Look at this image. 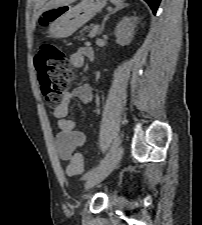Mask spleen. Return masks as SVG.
<instances>
[{
    "label": "spleen",
    "instance_id": "spleen-1",
    "mask_svg": "<svg viewBox=\"0 0 202 225\" xmlns=\"http://www.w3.org/2000/svg\"><path fill=\"white\" fill-rule=\"evenodd\" d=\"M113 4L121 6L124 0H110Z\"/></svg>",
    "mask_w": 202,
    "mask_h": 225
}]
</instances>
